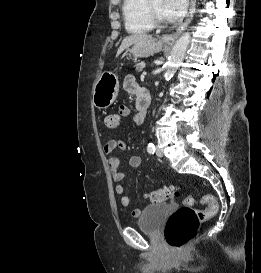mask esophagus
Listing matches in <instances>:
<instances>
[{
  "mask_svg": "<svg viewBox=\"0 0 261 273\" xmlns=\"http://www.w3.org/2000/svg\"><path fill=\"white\" fill-rule=\"evenodd\" d=\"M195 6H196V0H191L189 13L187 15L186 20L184 21V23L181 26H179V28L175 32H173L171 34L162 35L161 41L163 43L170 45V46L174 45L177 38L181 35V33L187 28V26L191 22L192 17L195 12Z\"/></svg>",
  "mask_w": 261,
  "mask_h": 273,
  "instance_id": "esophagus-1",
  "label": "esophagus"
}]
</instances>
